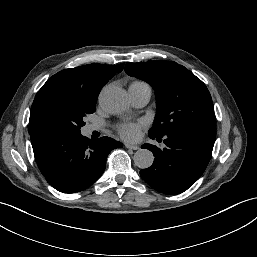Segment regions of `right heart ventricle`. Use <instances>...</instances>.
<instances>
[{"instance_id": "e07e8e85", "label": "right heart ventricle", "mask_w": 257, "mask_h": 257, "mask_svg": "<svg viewBox=\"0 0 257 257\" xmlns=\"http://www.w3.org/2000/svg\"><path fill=\"white\" fill-rule=\"evenodd\" d=\"M142 85H146V84L141 81H134L130 86H142Z\"/></svg>"}]
</instances>
